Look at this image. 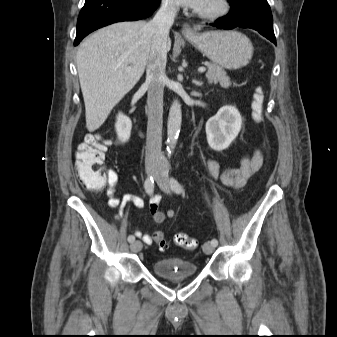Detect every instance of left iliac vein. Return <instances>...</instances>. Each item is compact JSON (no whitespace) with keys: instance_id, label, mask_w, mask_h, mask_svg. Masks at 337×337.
I'll use <instances>...</instances> for the list:
<instances>
[{"instance_id":"1","label":"left iliac vein","mask_w":337,"mask_h":337,"mask_svg":"<svg viewBox=\"0 0 337 337\" xmlns=\"http://www.w3.org/2000/svg\"><path fill=\"white\" fill-rule=\"evenodd\" d=\"M155 180L163 192L167 194L170 193L169 179L165 167L158 170V172L155 174ZM214 249L215 246L209 241L205 242L203 245V251L206 254H211Z\"/></svg>"}]
</instances>
